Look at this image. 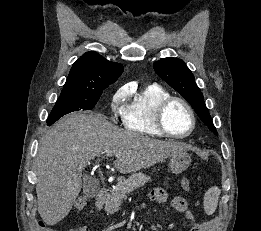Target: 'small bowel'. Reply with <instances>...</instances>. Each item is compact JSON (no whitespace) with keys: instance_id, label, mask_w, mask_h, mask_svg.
Segmentation results:
<instances>
[{"instance_id":"obj_1","label":"small bowel","mask_w":261,"mask_h":231,"mask_svg":"<svg viewBox=\"0 0 261 231\" xmlns=\"http://www.w3.org/2000/svg\"><path fill=\"white\" fill-rule=\"evenodd\" d=\"M189 182L187 178H182L181 185ZM167 200V194L163 189H155L150 195V201L154 204H162ZM172 207L180 214L184 215L189 226L192 228L197 227L196 231H214V221L211 220L205 224H199L192 212L190 211L187 200L181 196H175L171 200ZM67 231H89L86 226L70 228Z\"/></svg>"}]
</instances>
